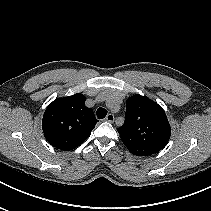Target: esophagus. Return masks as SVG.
I'll use <instances>...</instances> for the list:
<instances>
[{
    "label": "esophagus",
    "instance_id": "esophagus-1",
    "mask_svg": "<svg viewBox=\"0 0 211 211\" xmlns=\"http://www.w3.org/2000/svg\"><path fill=\"white\" fill-rule=\"evenodd\" d=\"M114 119H115V117H114V115L113 114H108L107 116H106V118H105V120L107 121V122H110V123H113L114 122Z\"/></svg>",
    "mask_w": 211,
    "mask_h": 211
}]
</instances>
